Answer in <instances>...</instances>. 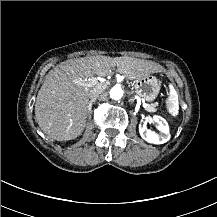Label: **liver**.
I'll return each instance as SVG.
<instances>
[{
  "label": "liver",
  "instance_id": "obj_1",
  "mask_svg": "<svg viewBox=\"0 0 217 217\" xmlns=\"http://www.w3.org/2000/svg\"><path fill=\"white\" fill-rule=\"evenodd\" d=\"M114 67L130 80L164 71L155 62L128 56H91L61 63L45 76L37 95L35 120L42 131L57 141L77 138L86 125L89 78L110 75Z\"/></svg>",
  "mask_w": 217,
  "mask_h": 217
}]
</instances>
